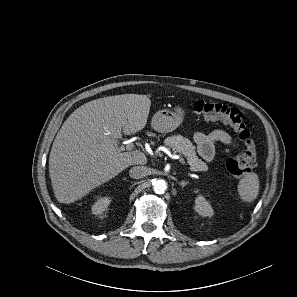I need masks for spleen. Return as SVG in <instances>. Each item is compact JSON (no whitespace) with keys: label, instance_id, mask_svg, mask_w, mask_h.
<instances>
[{"label":"spleen","instance_id":"spleen-1","mask_svg":"<svg viewBox=\"0 0 297 297\" xmlns=\"http://www.w3.org/2000/svg\"><path fill=\"white\" fill-rule=\"evenodd\" d=\"M238 194L242 201L252 202L259 193V177L254 172L246 173L239 181Z\"/></svg>","mask_w":297,"mask_h":297}]
</instances>
